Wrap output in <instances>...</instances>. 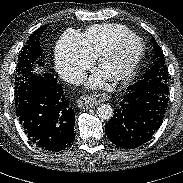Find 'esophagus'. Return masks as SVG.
<instances>
[{"mask_svg": "<svg viewBox=\"0 0 183 183\" xmlns=\"http://www.w3.org/2000/svg\"><path fill=\"white\" fill-rule=\"evenodd\" d=\"M108 99H109V97L105 94H99L96 96L94 95L93 97L81 96L77 100V106L80 109L87 110V109L95 107L96 105H98V103H100L102 101H106Z\"/></svg>", "mask_w": 183, "mask_h": 183, "instance_id": "esophagus-1", "label": "esophagus"}]
</instances>
